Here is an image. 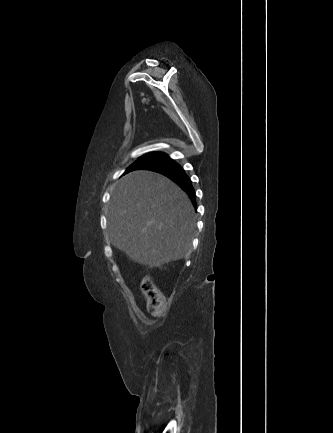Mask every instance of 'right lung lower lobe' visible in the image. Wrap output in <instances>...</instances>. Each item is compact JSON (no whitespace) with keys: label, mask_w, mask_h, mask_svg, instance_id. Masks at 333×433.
<instances>
[{"label":"right lung lower lobe","mask_w":333,"mask_h":433,"mask_svg":"<svg viewBox=\"0 0 333 433\" xmlns=\"http://www.w3.org/2000/svg\"><path fill=\"white\" fill-rule=\"evenodd\" d=\"M137 169L154 170L167 176L189 195L194 206L196 207V196L189 177L187 176L183 168L174 160H172L169 156L164 155L153 162L143 164Z\"/></svg>","instance_id":"right-lung-lower-lobe-1"}]
</instances>
